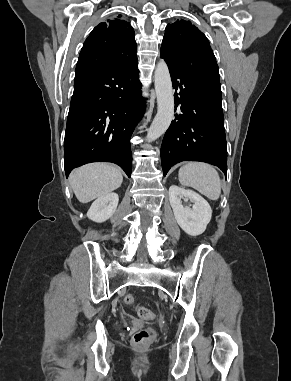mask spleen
<instances>
[{
    "instance_id": "obj_1",
    "label": "spleen",
    "mask_w": 291,
    "mask_h": 381,
    "mask_svg": "<svg viewBox=\"0 0 291 381\" xmlns=\"http://www.w3.org/2000/svg\"><path fill=\"white\" fill-rule=\"evenodd\" d=\"M179 181L183 186L196 189L210 200H218L221 181L214 167L202 162H189L179 169Z\"/></svg>"
}]
</instances>
